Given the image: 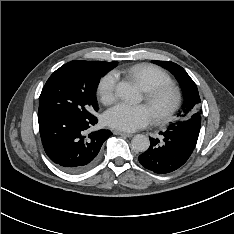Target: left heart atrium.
Returning a JSON list of instances; mask_svg holds the SVG:
<instances>
[{"instance_id": "obj_1", "label": "left heart atrium", "mask_w": 234, "mask_h": 234, "mask_svg": "<svg viewBox=\"0 0 234 234\" xmlns=\"http://www.w3.org/2000/svg\"><path fill=\"white\" fill-rule=\"evenodd\" d=\"M153 118L150 108L146 105H129L119 103L103 116L106 125L126 132H132L147 126Z\"/></svg>"}]
</instances>
